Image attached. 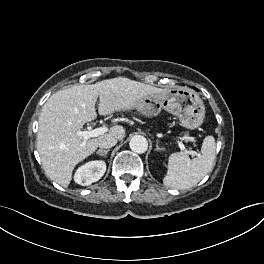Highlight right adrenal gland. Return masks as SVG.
I'll return each mask as SVG.
<instances>
[{"instance_id": "obj_1", "label": "right adrenal gland", "mask_w": 264, "mask_h": 264, "mask_svg": "<svg viewBox=\"0 0 264 264\" xmlns=\"http://www.w3.org/2000/svg\"><path fill=\"white\" fill-rule=\"evenodd\" d=\"M108 152H109V149H108V150H102V149H100V150H98V151L96 152V154L99 155V156L106 157L107 154H108Z\"/></svg>"}]
</instances>
